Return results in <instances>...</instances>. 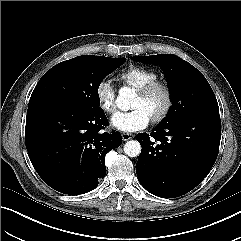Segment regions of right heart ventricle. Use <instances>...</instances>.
Returning <instances> with one entry per match:
<instances>
[{
  "mask_svg": "<svg viewBox=\"0 0 241 241\" xmlns=\"http://www.w3.org/2000/svg\"><path fill=\"white\" fill-rule=\"evenodd\" d=\"M119 79L126 85L139 89L158 79V75L151 69L141 66H130L119 74Z\"/></svg>",
  "mask_w": 241,
  "mask_h": 241,
  "instance_id": "obj_1",
  "label": "right heart ventricle"
}]
</instances>
